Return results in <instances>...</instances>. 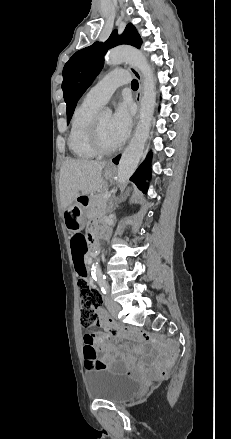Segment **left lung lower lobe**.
I'll use <instances>...</instances> for the list:
<instances>
[{
    "label": "left lung lower lobe",
    "instance_id": "1",
    "mask_svg": "<svg viewBox=\"0 0 231 439\" xmlns=\"http://www.w3.org/2000/svg\"><path fill=\"white\" fill-rule=\"evenodd\" d=\"M148 159L151 158L150 154L147 156ZM120 155L113 159L115 164H118ZM150 178V162L142 163L133 176L130 178L144 193L147 192L148 184L144 182V179Z\"/></svg>",
    "mask_w": 231,
    "mask_h": 439
}]
</instances>
